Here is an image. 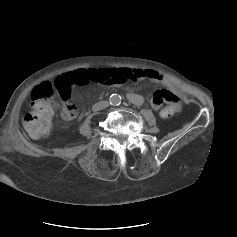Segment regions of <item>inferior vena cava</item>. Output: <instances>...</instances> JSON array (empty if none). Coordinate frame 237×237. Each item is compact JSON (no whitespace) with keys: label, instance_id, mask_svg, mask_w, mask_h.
<instances>
[{"label":"inferior vena cava","instance_id":"inferior-vena-cava-1","mask_svg":"<svg viewBox=\"0 0 237 237\" xmlns=\"http://www.w3.org/2000/svg\"><path fill=\"white\" fill-rule=\"evenodd\" d=\"M109 106V102L108 101H100V102H97L95 103L93 106H92V110L93 111H99V110H102L106 107Z\"/></svg>","mask_w":237,"mask_h":237}]
</instances>
